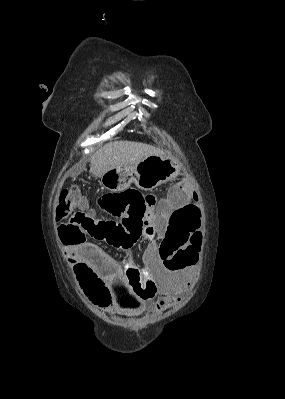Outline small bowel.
Returning <instances> with one entry per match:
<instances>
[{
  "label": "small bowel",
  "instance_id": "1",
  "mask_svg": "<svg viewBox=\"0 0 285 399\" xmlns=\"http://www.w3.org/2000/svg\"><path fill=\"white\" fill-rule=\"evenodd\" d=\"M186 201L187 194H182L177 199L176 204L178 207L176 209L184 206ZM176 209L172 205L164 207L162 211L165 216L153 217L152 223L144 230V237L147 241L154 242L158 234L165 236L169 243H181L184 255L190 263L181 270L161 271L157 257V248L155 245H150L143 253V263L153 272L154 279L157 282V292L154 296L147 298L139 295L137 302L134 304L128 302L122 293V289L134 279L140 278V271L136 265L128 264V267L123 270L121 265L115 260L96 251L95 246L91 243L68 246L66 248L65 254L74 269L76 277L77 267L86 264L90 265L99 277L100 275L105 277L111 296L109 302H106L104 296L100 293L86 290L77 277L81 288L95 305L106 309L110 313L116 312L124 316H137L143 313L148 307H151L156 312H162L183 298L193 283L195 275L193 261L197 254L200 231L193 227V218L180 223L172 222L170 226L162 228L168 222L166 215L169 216ZM149 210L151 215L155 216V208L152 206ZM111 213L114 214V211H111ZM96 214V210H93L91 213V216L95 220L96 228L88 229V233L93 237H98L102 233L105 223H113L112 221L104 220L102 217H97ZM66 235L69 236V233ZM80 247H84L87 254L81 252ZM145 287L146 285L143 284V288Z\"/></svg>",
  "mask_w": 285,
  "mask_h": 399
}]
</instances>
